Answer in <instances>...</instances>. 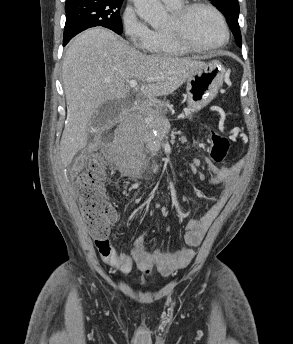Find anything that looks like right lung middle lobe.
<instances>
[{
    "mask_svg": "<svg viewBox=\"0 0 293 344\" xmlns=\"http://www.w3.org/2000/svg\"><path fill=\"white\" fill-rule=\"evenodd\" d=\"M123 0H79L65 3L66 24L63 44L72 37L95 26H102L122 33L120 9Z\"/></svg>",
    "mask_w": 293,
    "mask_h": 344,
    "instance_id": "dd1d6c3e",
    "label": "right lung middle lobe"
}]
</instances>
